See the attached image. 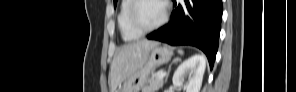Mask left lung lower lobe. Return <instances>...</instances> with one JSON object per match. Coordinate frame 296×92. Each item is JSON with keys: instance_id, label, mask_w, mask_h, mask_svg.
I'll return each mask as SVG.
<instances>
[{"instance_id": "left-lung-lower-lobe-1", "label": "left lung lower lobe", "mask_w": 296, "mask_h": 92, "mask_svg": "<svg viewBox=\"0 0 296 92\" xmlns=\"http://www.w3.org/2000/svg\"><path fill=\"white\" fill-rule=\"evenodd\" d=\"M171 21L147 35L170 45H191L201 49L213 67L218 49L222 0H173Z\"/></svg>"}]
</instances>
